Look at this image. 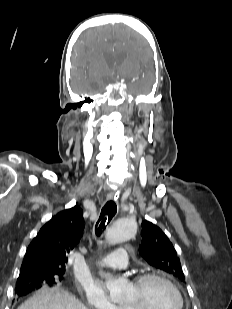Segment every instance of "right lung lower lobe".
Here are the masks:
<instances>
[{
    "label": "right lung lower lobe",
    "mask_w": 232,
    "mask_h": 309,
    "mask_svg": "<svg viewBox=\"0 0 232 309\" xmlns=\"http://www.w3.org/2000/svg\"><path fill=\"white\" fill-rule=\"evenodd\" d=\"M38 288H40L39 285H37V286H34V285H22L20 287H16L15 288V294L18 297H22V296H25V295L31 293L33 290L38 289Z\"/></svg>",
    "instance_id": "obj_1"
}]
</instances>
